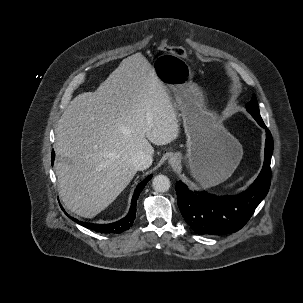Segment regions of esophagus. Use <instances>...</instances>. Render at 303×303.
Listing matches in <instances>:
<instances>
[{"instance_id":"34e87169","label":"esophagus","mask_w":303,"mask_h":303,"mask_svg":"<svg viewBox=\"0 0 303 303\" xmlns=\"http://www.w3.org/2000/svg\"><path fill=\"white\" fill-rule=\"evenodd\" d=\"M169 163H170L172 166H175V165L177 164V159H176L175 157H172V158H170Z\"/></svg>"}]
</instances>
